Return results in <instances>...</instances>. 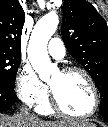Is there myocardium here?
I'll return each mask as SVG.
<instances>
[{
  "instance_id": "myocardium-1",
  "label": "myocardium",
  "mask_w": 108,
  "mask_h": 127,
  "mask_svg": "<svg viewBox=\"0 0 108 127\" xmlns=\"http://www.w3.org/2000/svg\"><path fill=\"white\" fill-rule=\"evenodd\" d=\"M59 72L61 74H64V75L70 74V73L81 74L86 79V81L88 82V84L91 88V91L93 94V105H92V108L90 109V111L85 113V114H72V113L66 111L62 107V105L59 102V99L57 97L55 90L53 89V87L51 85H49L50 104H51V107L53 108V110L56 111L57 113L61 114V115L71 117V118H76V119L89 118L93 114H95V112L97 111V109L99 107L100 94H99L97 85H96L95 81L93 80L92 76L85 69L80 68V67H76V66L64 67Z\"/></svg>"
}]
</instances>
